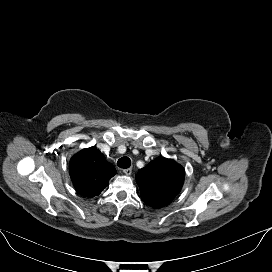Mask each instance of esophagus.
I'll return each mask as SVG.
<instances>
[{"label":"esophagus","instance_id":"obj_1","mask_svg":"<svg viewBox=\"0 0 272 272\" xmlns=\"http://www.w3.org/2000/svg\"><path fill=\"white\" fill-rule=\"evenodd\" d=\"M123 172L125 173V175L129 176L132 173V169L131 168H127V169H124Z\"/></svg>","mask_w":272,"mask_h":272}]
</instances>
